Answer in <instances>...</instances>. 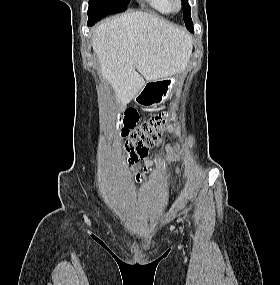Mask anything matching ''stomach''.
<instances>
[{"label":"stomach","instance_id":"stomach-1","mask_svg":"<svg viewBox=\"0 0 280 285\" xmlns=\"http://www.w3.org/2000/svg\"><path fill=\"white\" fill-rule=\"evenodd\" d=\"M179 77L180 72L157 81H148L136 94L134 100L143 106H156L165 102L170 97Z\"/></svg>","mask_w":280,"mask_h":285}]
</instances>
